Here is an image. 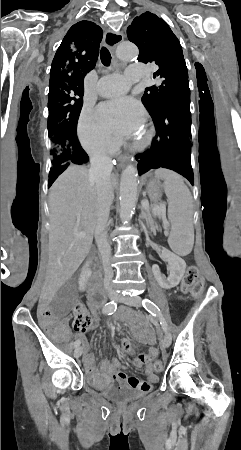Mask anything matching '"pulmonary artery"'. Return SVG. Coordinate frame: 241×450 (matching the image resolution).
<instances>
[{"mask_svg":"<svg viewBox=\"0 0 241 450\" xmlns=\"http://www.w3.org/2000/svg\"><path fill=\"white\" fill-rule=\"evenodd\" d=\"M148 66L146 64H129L125 69V78L121 74H98L100 83L98 94L105 97L106 102H117L118 97L126 94L129 89L128 78H147Z\"/></svg>","mask_w":241,"mask_h":450,"instance_id":"pulmonary-artery-1","label":"pulmonary artery"}]
</instances>
